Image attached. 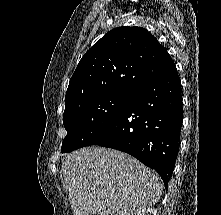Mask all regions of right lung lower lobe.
I'll use <instances>...</instances> for the list:
<instances>
[{"mask_svg":"<svg viewBox=\"0 0 221 215\" xmlns=\"http://www.w3.org/2000/svg\"><path fill=\"white\" fill-rule=\"evenodd\" d=\"M182 121L181 81L173 64L164 74L133 92L117 120L91 145L136 157L155 169L167 186Z\"/></svg>","mask_w":221,"mask_h":215,"instance_id":"right-lung-lower-lobe-1","label":"right lung lower lobe"}]
</instances>
